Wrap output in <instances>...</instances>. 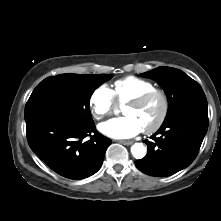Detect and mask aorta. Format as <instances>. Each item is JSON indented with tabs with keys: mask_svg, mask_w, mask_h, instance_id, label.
I'll list each match as a JSON object with an SVG mask.
<instances>
[{
	"mask_svg": "<svg viewBox=\"0 0 221 221\" xmlns=\"http://www.w3.org/2000/svg\"><path fill=\"white\" fill-rule=\"evenodd\" d=\"M131 153L134 158L142 159L146 155V147L142 143H135L131 146Z\"/></svg>",
	"mask_w": 221,
	"mask_h": 221,
	"instance_id": "762f6f07",
	"label": "aorta"
}]
</instances>
